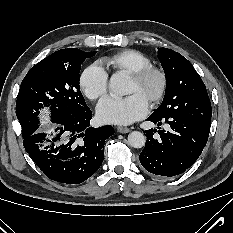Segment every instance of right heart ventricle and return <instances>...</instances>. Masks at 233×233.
<instances>
[{"label": "right heart ventricle", "mask_w": 233, "mask_h": 233, "mask_svg": "<svg viewBox=\"0 0 233 233\" xmlns=\"http://www.w3.org/2000/svg\"><path fill=\"white\" fill-rule=\"evenodd\" d=\"M102 62L109 68L132 74L141 68L150 66L151 60L142 52L125 49L106 57Z\"/></svg>", "instance_id": "1"}]
</instances>
